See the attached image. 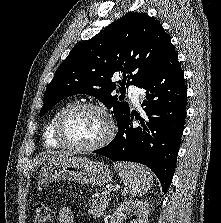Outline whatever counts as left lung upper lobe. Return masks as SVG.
<instances>
[{"instance_id": "left-lung-upper-lobe-1", "label": "left lung upper lobe", "mask_w": 221, "mask_h": 223, "mask_svg": "<svg viewBox=\"0 0 221 223\" xmlns=\"http://www.w3.org/2000/svg\"><path fill=\"white\" fill-rule=\"evenodd\" d=\"M170 44L158 20L146 13H127L70 51L46 89L39 115L68 96L86 93L113 108L119 124L130 108L120 96L112 95L117 88L113 74L123 75L120 92L127 78V87H141L159 68Z\"/></svg>"}]
</instances>
